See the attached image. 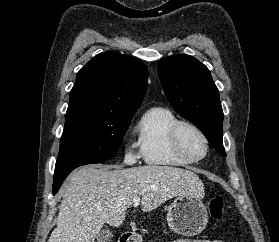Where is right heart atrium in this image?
<instances>
[{
	"mask_svg": "<svg viewBox=\"0 0 279 242\" xmlns=\"http://www.w3.org/2000/svg\"><path fill=\"white\" fill-rule=\"evenodd\" d=\"M139 158V154L135 153L132 149L125 146L123 149V161L126 164H133Z\"/></svg>",
	"mask_w": 279,
	"mask_h": 242,
	"instance_id": "obj_1",
	"label": "right heart atrium"
}]
</instances>
